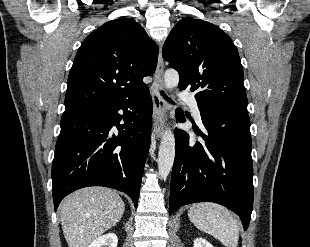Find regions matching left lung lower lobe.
Masks as SVG:
<instances>
[{
    "label": "left lung lower lobe",
    "instance_id": "1",
    "mask_svg": "<svg viewBox=\"0 0 310 247\" xmlns=\"http://www.w3.org/2000/svg\"><path fill=\"white\" fill-rule=\"evenodd\" d=\"M199 110L208 131L201 134L204 141L175 130L169 214L183 205L215 202L238 214L246 230L253 209L250 119L231 110ZM175 114L177 121H185L181 110Z\"/></svg>",
    "mask_w": 310,
    "mask_h": 247
}]
</instances>
